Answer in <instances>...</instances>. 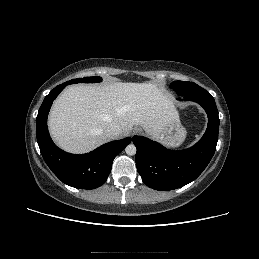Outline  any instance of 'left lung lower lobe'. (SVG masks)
Listing matches in <instances>:
<instances>
[{
	"label": "left lung lower lobe",
	"mask_w": 259,
	"mask_h": 259,
	"mask_svg": "<svg viewBox=\"0 0 259 259\" xmlns=\"http://www.w3.org/2000/svg\"><path fill=\"white\" fill-rule=\"evenodd\" d=\"M183 98L200 104L208 115L206 132L193 147L172 151L142 136L132 138L137 148V170L142 181L155 190H173L192 182L203 172L216 150L219 117L214 98L208 92Z\"/></svg>",
	"instance_id": "1"
}]
</instances>
